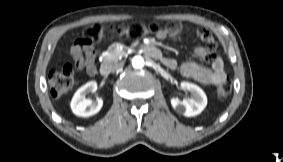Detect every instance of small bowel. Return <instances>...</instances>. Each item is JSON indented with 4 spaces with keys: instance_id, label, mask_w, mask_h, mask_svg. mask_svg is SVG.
<instances>
[{
    "instance_id": "1",
    "label": "small bowel",
    "mask_w": 283,
    "mask_h": 162,
    "mask_svg": "<svg viewBox=\"0 0 283 162\" xmlns=\"http://www.w3.org/2000/svg\"><path fill=\"white\" fill-rule=\"evenodd\" d=\"M183 26L179 23H171L165 28L160 29L156 36L159 39L171 38L179 40L181 38ZM197 35L200 39L207 42V47L198 46L194 53L200 59H210L211 67H205L194 61H186L180 66L181 74L187 78H192L205 85H218L226 79L224 63L220 56L216 55V43L209 31L205 28H199ZM98 51L92 43L84 38L77 39L71 47V56L77 69H85L88 75L92 77L98 76L96 67V57ZM162 62L169 68L175 69L177 62L170 57H163Z\"/></svg>"
}]
</instances>
